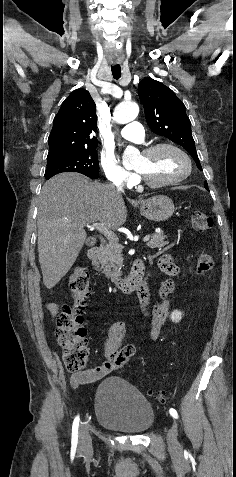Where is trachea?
<instances>
[{
  "instance_id": "1",
  "label": "trachea",
  "mask_w": 236,
  "mask_h": 477,
  "mask_svg": "<svg viewBox=\"0 0 236 477\" xmlns=\"http://www.w3.org/2000/svg\"><path fill=\"white\" fill-rule=\"evenodd\" d=\"M113 77L118 80L121 77V67L120 65H114L111 67Z\"/></svg>"
}]
</instances>
